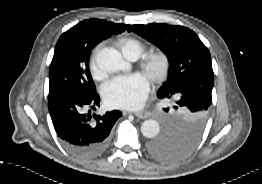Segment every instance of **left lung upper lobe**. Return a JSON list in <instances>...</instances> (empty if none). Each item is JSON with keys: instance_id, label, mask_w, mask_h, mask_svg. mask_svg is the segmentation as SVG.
<instances>
[{"instance_id": "1", "label": "left lung upper lobe", "mask_w": 262, "mask_h": 184, "mask_svg": "<svg viewBox=\"0 0 262 184\" xmlns=\"http://www.w3.org/2000/svg\"><path fill=\"white\" fill-rule=\"evenodd\" d=\"M139 35L152 40L173 54L174 62L168 81L159 90V98L179 94L174 109L186 110L193 131L200 136L205 116L212 102L214 73L208 48L197 34L183 26L167 24L133 25ZM166 112L169 109H165ZM196 136V137H197ZM198 136V137H199Z\"/></svg>"}]
</instances>
